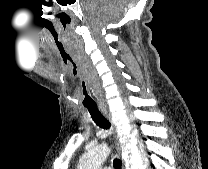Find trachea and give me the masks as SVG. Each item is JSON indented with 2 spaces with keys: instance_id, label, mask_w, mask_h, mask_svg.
Masks as SVG:
<instances>
[{
  "instance_id": "3493384b",
  "label": "trachea",
  "mask_w": 208,
  "mask_h": 169,
  "mask_svg": "<svg viewBox=\"0 0 208 169\" xmlns=\"http://www.w3.org/2000/svg\"><path fill=\"white\" fill-rule=\"evenodd\" d=\"M85 107L88 109L96 125L106 130L110 129L111 124L109 120L99 111L96 105H90V106L85 105ZM113 164L115 169H121L122 162L118 158L114 159Z\"/></svg>"
}]
</instances>
